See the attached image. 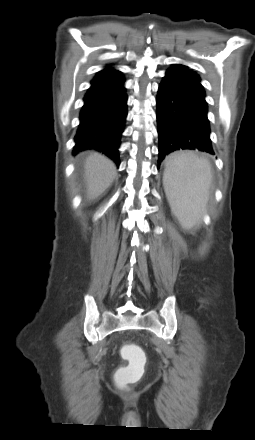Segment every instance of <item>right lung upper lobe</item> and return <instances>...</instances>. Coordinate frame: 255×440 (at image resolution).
<instances>
[{
  "mask_svg": "<svg viewBox=\"0 0 255 440\" xmlns=\"http://www.w3.org/2000/svg\"><path fill=\"white\" fill-rule=\"evenodd\" d=\"M110 69H111V68L108 67V68H106V69H104V70H102V71H99L97 74H100V73L106 72V71H108V70H110Z\"/></svg>",
  "mask_w": 255,
  "mask_h": 440,
  "instance_id": "obj_1",
  "label": "right lung upper lobe"
}]
</instances>
